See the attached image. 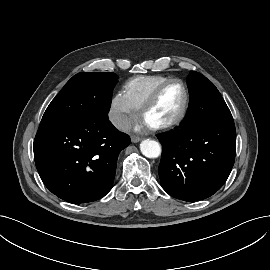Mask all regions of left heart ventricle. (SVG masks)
<instances>
[{
    "label": "left heart ventricle",
    "instance_id": "left-heart-ventricle-1",
    "mask_svg": "<svg viewBox=\"0 0 270 270\" xmlns=\"http://www.w3.org/2000/svg\"><path fill=\"white\" fill-rule=\"evenodd\" d=\"M183 100V87L178 83L169 85L144 116V122L148 125H155L170 119L180 109Z\"/></svg>",
    "mask_w": 270,
    "mask_h": 270
}]
</instances>
